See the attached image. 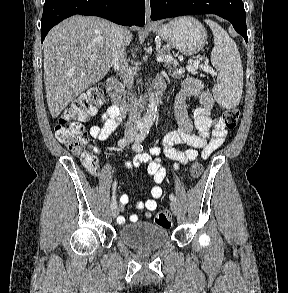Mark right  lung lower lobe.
<instances>
[{
    "mask_svg": "<svg viewBox=\"0 0 288 293\" xmlns=\"http://www.w3.org/2000/svg\"><path fill=\"white\" fill-rule=\"evenodd\" d=\"M145 0H45L41 20V41L49 30L75 14L106 18L125 26H144Z\"/></svg>",
    "mask_w": 288,
    "mask_h": 293,
    "instance_id": "98d812e1",
    "label": "right lung lower lobe"
}]
</instances>
